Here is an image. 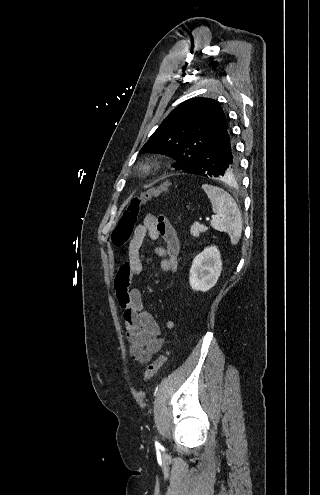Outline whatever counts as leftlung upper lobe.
<instances>
[{"label":"left lung upper lobe","mask_w":320,"mask_h":495,"mask_svg":"<svg viewBox=\"0 0 320 495\" xmlns=\"http://www.w3.org/2000/svg\"><path fill=\"white\" fill-rule=\"evenodd\" d=\"M221 106L213 99L192 98L176 107L151 135L141 153L174 157L176 170L192 166L201 152L227 127Z\"/></svg>","instance_id":"5c2ea615"}]
</instances>
